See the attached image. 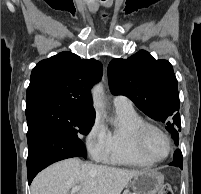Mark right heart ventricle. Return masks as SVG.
Instances as JSON below:
<instances>
[{
    "instance_id": "obj_1",
    "label": "right heart ventricle",
    "mask_w": 201,
    "mask_h": 194,
    "mask_svg": "<svg viewBox=\"0 0 201 194\" xmlns=\"http://www.w3.org/2000/svg\"><path fill=\"white\" fill-rule=\"evenodd\" d=\"M144 122L133 107L115 106V119L105 126L106 148L102 159L118 165L151 166L138 150L135 142L137 128Z\"/></svg>"
}]
</instances>
